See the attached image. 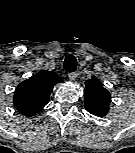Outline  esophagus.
Here are the masks:
<instances>
[{
	"label": "esophagus",
	"mask_w": 135,
	"mask_h": 153,
	"mask_svg": "<svg viewBox=\"0 0 135 153\" xmlns=\"http://www.w3.org/2000/svg\"><path fill=\"white\" fill-rule=\"evenodd\" d=\"M78 76V73L77 72H71L68 74V77L71 81H74Z\"/></svg>",
	"instance_id": "1"
}]
</instances>
